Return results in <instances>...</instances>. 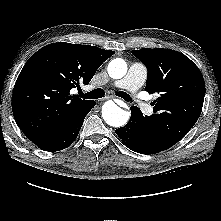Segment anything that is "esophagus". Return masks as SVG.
Segmentation results:
<instances>
[{
    "label": "esophagus",
    "instance_id": "obj_1",
    "mask_svg": "<svg viewBox=\"0 0 221 221\" xmlns=\"http://www.w3.org/2000/svg\"><path fill=\"white\" fill-rule=\"evenodd\" d=\"M109 98L110 97H104V98L101 99V101H105V100H107ZM116 101H117L118 104H124L121 100L116 99Z\"/></svg>",
    "mask_w": 221,
    "mask_h": 221
}]
</instances>
